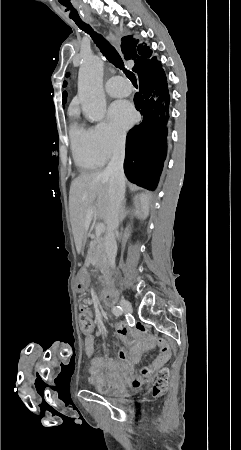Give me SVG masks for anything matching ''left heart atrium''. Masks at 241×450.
Instances as JSON below:
<instances>
[{"label": "left heart atrium", "instance_id": "left-heart-atrium-1", "mask_svg": "<svg viewBox=\"0 0 241 450\" xmlns=\"http://www.w3.org/2000/svg\"><path fill=\"white\" fill-rule=\"evenodd\" d=\"M108 117L114 127L124 131L134 123L135 111L128 101L119 100L110 106Z\"/></svg>", "mask_w": 241, "mask_h": 450}]
</instances>
